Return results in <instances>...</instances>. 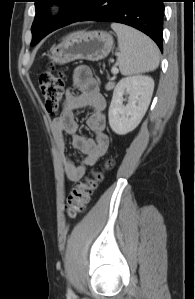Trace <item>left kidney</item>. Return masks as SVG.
<instances>
[{"label":"left kidney","instance_id":"1","mask_svg":"<svg viewBox=\"0 0 195 299\" xmlns=\"http://www.w3.org/2000/svg\"><path fill=\"white\" fill-rule=\"evenodd\" d=\"M154 90V80L146 75L121 79L116 85L109 107V125L113 132L125 135L133 131L144 117ZM127 94L128 104L123 105Z\"/></svg>","mask_w":195,"mask_h":299}]
</instances>
